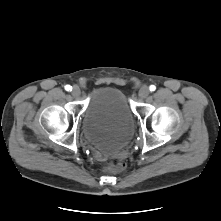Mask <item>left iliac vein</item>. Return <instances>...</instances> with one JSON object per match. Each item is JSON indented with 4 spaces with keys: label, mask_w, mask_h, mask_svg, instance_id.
<instances>
[{
    "label": "left iliac vein",
    "mask_w": 221,
    "mask_h": 221,
    "mask_svg": "<svg viewBox=\"0 0 221 221\" xmlns=\"http://www.w3.org/2000/svg\"><path fill=\"white\" fill-rule=\"evenodd\" d=\"M149 92V88L144 85L140 88L138 95L140 98H146L149 95Z\"/></svg>",
    "instance_id": "left-iliac-vein-1"
}]
</instances>
